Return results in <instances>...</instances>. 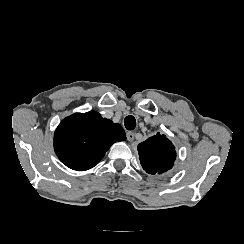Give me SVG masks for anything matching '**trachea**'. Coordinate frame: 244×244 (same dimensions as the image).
I'll list each match as a JSON object with an SVG mask.
<instances>
[{
  "mask_svg": "<svg viewBox=\"0 0 244 244\" xmlns=\"http://www.w3.org/2000/svg\"><path fill=\"white\" fill-rule=\"evenodd\" d=\"M124 125H125V127H126L127 130H133V129H135V126H136L135 117H133L132 115L127 116L124 119Z\"/></svg>",
  "mask_w": 244,
  "mask_h": 244,
  "instance_id": "trachea-1",
  "label": "trachea"
}]
</instances>
